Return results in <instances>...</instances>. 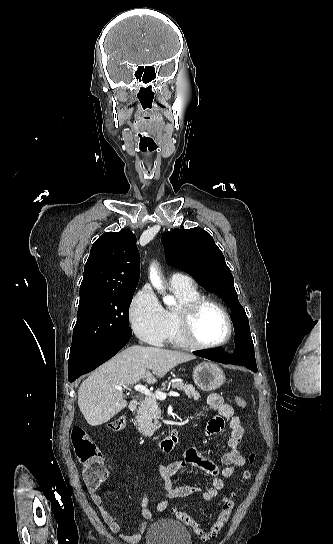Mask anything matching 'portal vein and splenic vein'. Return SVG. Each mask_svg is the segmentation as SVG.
<instances>
[{
    "mask_svg": "<svg viewBox=\"0 0 333 544\" xmlns=\"http://www.w3.org/2000/svg\"><path fill=\"white\" fill-rule=\"evenodd\" d=\"M116 388H117L118 390H120V391L123 390L122 386H116ZM134 389H135L136 391L142 393V394H145V395H148V396L152 395V393L150 392V390H149L146 386H143V385H141V384H136V385L134 386ZM155 395H156V398L159 399V400H164V399L166 398L167 395L170 396V397H171V396H173V397H179V396H180V394L177 393V392H170V393H168V394L163 393V392H156Z\"/></svg>",
    "mask_w": 333,
    "mask_h": 544,
    "instance_id": "1",
    "label": "portal vein and splenic vein"
}]
</instances>
